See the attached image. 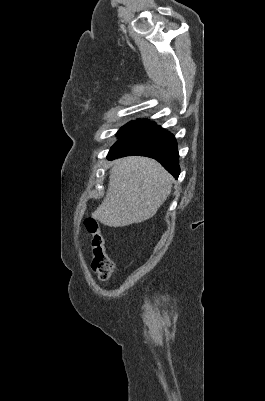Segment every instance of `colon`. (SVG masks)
<instances>
[{
  "mask_svg": "<svg viewBox=\"0 0 265 401\" xmlns=\"http://www.w3.org/2000/svg\"><path fill=\"white\" fill-rule=\"evenodd\" d=\"M84 226L91 236L92 261L91 267L98 277L105 281L113 272V262L107 255L104 246V239L100 230L99 223L93 218H87Z\"/></svg>",
  "mask_w": 265,
  "mask_h": 401,
  "instance_id": "obj_1",
  "label": "colon"
}]
</instances>
